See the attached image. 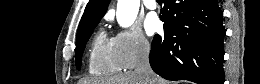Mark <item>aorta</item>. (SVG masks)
Masks as SVG:
<instances>
[{
	"label": "aorta",
	"instance_id": "obj_1",
	"mask_svg": "<svg viewBox=\"0 0 260 84\" xmlns=\"http://www.w3.org/2000/svg\"><path fill=\"white\" fill-rule=\"evenodd\" d=\"M140 0H118L116 19L121 27L131 26L138 14Z\"/></svg>",
	"mask_w": 260,
	"mask_h": 84
}]
</instances>
